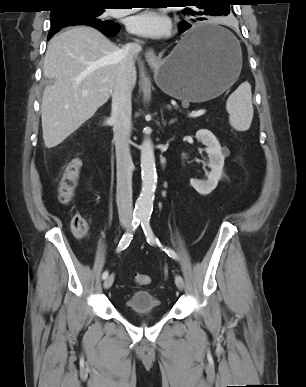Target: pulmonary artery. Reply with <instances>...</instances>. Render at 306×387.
Returning a JSON list of instances; mask_svg holds the SVG:
<instances>
[{
	"mask_svg": "<svg viewBox=\"0 0 306 387\" xmlns=\"http://www.w3.org/2000/svg\"><path fill=\"white\" fill-rule=\"evenodd\" d=\"M133 9H115L110 12L112 16H123L132 13Z\"/></svg>",
	"mask_w": 306,
	"mask_h": 387,
	"instance_id": "obj_1",
	"label": "pulmonary artery"
}]
</instances>
